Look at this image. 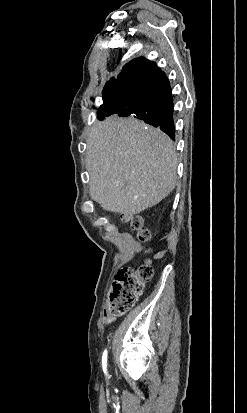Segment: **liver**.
Wrapping results in <instances>:
<instances>
[{
  "label": "liver",
  "mask_w": 247,
  "mask_h": 413,
  "mask_svg": "<svg viewBox=\"0 0 247 413\" xmlns=\"http://www.w3.org/2000/svg\"><path fill=\"white\" fill-rule=\"evenodd\" d=\"M90 196L104 211L138 215L168 196L177 182L173 142L138 118L108 116L87 138Z\"/></svg>",
  "instance_id": "1"
}]
</instances>
